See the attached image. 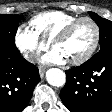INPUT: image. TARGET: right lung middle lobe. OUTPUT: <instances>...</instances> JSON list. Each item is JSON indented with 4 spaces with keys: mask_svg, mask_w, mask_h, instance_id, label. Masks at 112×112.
I'll list each match as a JSON object with an SVG mask.
<instances>
[{
    "mask_svg": "<svg viewBox=\"0 0 112 112\" xmlns=\"http://www.w3.org/2000/svg\"><path fill=\"white\" fill-rule=\"evenodd\" d=\"M23 19L21 15H0V53L20 54L15 45V34L19 22Z\"/></svg>",
    "mask_w": 112,
    "mask_h": 112,
    "instance_id": "dd1d6c3e",
    "label": "right lung middle lobe"
}]
</instances>
